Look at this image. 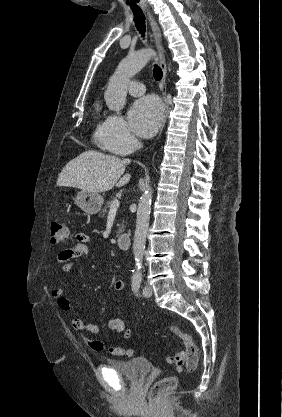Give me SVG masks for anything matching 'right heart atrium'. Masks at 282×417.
Returning <instances> with one entry per match:
<instances>
[{
    "mask_svg": "<svg viewBox=\"0 0 282 417\" xmlns=\"http://www.w3.org/2000/svg\"><path fill=\"white\" fill-rule=\"evenodd\" d=\"M103 145L113 153L126 155L136 149L137 141L126 122L120 116L112 115L107 120Z\"/></svg>",
    "mask_w": 282,
    "mask_h": 417,
    "instance_id": "right-heart-atrium-1",
    "label": "right heart atrium"
}]
</instances>
